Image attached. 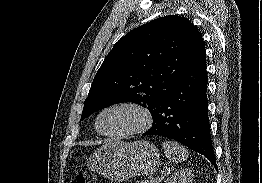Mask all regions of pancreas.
<instances>
[{"label": "pancreas", "instance_id": "obj_1", "mask_svg": "<svg viewBox=\"0 0 262 183\" xmlns=\"http://www.w3.org/2000/svg\"><path fill=\"white\" fill-rule=\"evenodd\" d=\"M141 183H160V182L155 180V179H150V180H146V181H141Z\"/></svg>", "mask_w": 262, "mask_h": 183}]
</instances>
